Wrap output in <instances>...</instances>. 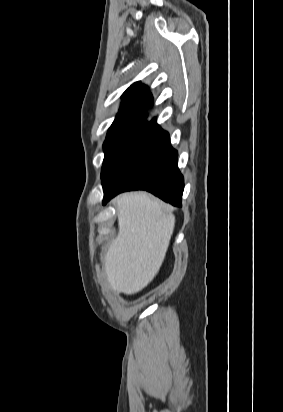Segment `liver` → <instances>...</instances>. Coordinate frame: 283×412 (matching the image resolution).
Returning <instances> with one entry per match:
<instances>
[{"instance_id":"6515ba94","label":"liver","mask_w":283,"mask_h":412,"mask_svg":"<svg viewBox=\"0 0 283 412\" xmlns=\"http://www.w3.org/2000/svg\"><path fill=\"white\" fill-rule=\"evenodd\" d=\"M119 232L106 257L105 272L113 291L127 295L146 287L158 273L175 226L168 205L147 193H124L114 202Z\"/></svg>"}]
</instances>
